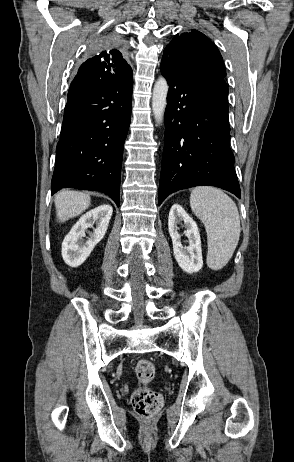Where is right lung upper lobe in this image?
Masks as SVG:
<instances>
[{
  "label": "right lung upper lobe",
  "instance_id": "1",
  "mask_svg": "<svg viewBox=\"0 0 294 462\" xmlns=\"http://www.w3.org/2000/svg\"><path fill=\"white\" fill-rule=\"evenodd\" d=\"M132 75V69L117 49L98 51L79 68L68 94H80L112 86Z\"/></svg>",
  "mask_w": 294,
  "mask_h": 462
}]
</instances>
